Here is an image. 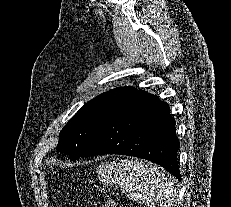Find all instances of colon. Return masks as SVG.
I'll use <instances>...</instances> for the list:
<instances>
[{"label":"colon","mask_w":231,"mask_h":207,"mask_svg":"<svg viewBox=\"0 0 231 207\" xmlns=\"http://www.w3.org/2000/svg\"><path fill=\"white\" fill-rule=\"evenodd\" d=\"M85 207V206H84ZM99 207H118V205L112 199H107L102 202Z\"/></svg>","instance_id":"5ec220e1"}]
</instances>
